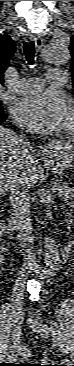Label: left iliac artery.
<instances>
[{
  "label": "left iliac artery",
  "instance_id": "1",
  "mask_svg": "<svg viewBox=\"0 0 74 366\" xmlns=\"http://www.w3.org/2000/svg\"><path fill=\"white\" fill-rule=\"evenodd\" d=\"M51 327L53 328V330H54V334L55 335H57L58 336V339L60 340V347H63V345H64V341H63V339H62V335H61V333H60V331H59V327H58V325H57V323H55V322H53L52 324H51Z\"/></svg>",
  "mask_w": 74,
  "mask_h": 366
}]
</instances>
